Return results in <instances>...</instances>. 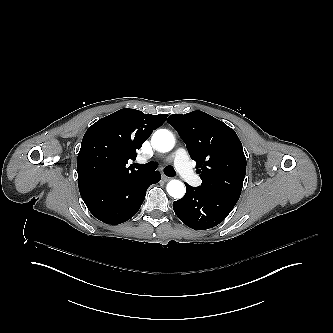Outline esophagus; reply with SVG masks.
Segmentation results:
<instances>
[{
	"mask_svg": "<svg viewBox=\"0 0 333 333\" xmlns=\"http://www.w3.org/2000/svg\"><path fill=\"white\" fill-rule=\"evenodd\" d=\"M162 179H163V181L167 182V181H169L171 178H170V177H167L166 175H162Z\"/></svg>",
	"mask_w": 333,
	"mask_h": 333,
	"instance_id": "34e87169",
	"label": "esophagus"
}]
</instances>
